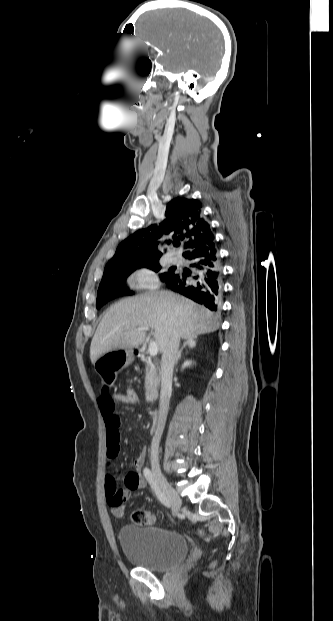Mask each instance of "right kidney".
Returning <instances> with one entry per match:
<instances>
[{"label":"right kidney","instance_id":"ca27d5eb","mask_svg":"<svg viewBox=\"0 0 333 621\" xmlns=\"http://www.w3.org/2000/svg\"><path fill=\"white\" fill-rule=\"evenodd\" d=\"M191 363H192V362H191L190 360H186V361L183 363V365H182V369H184V368H186V367L190 366V365H191Z\"/></svg>","mask_w":333,"mask_h":621}]
</instances>
